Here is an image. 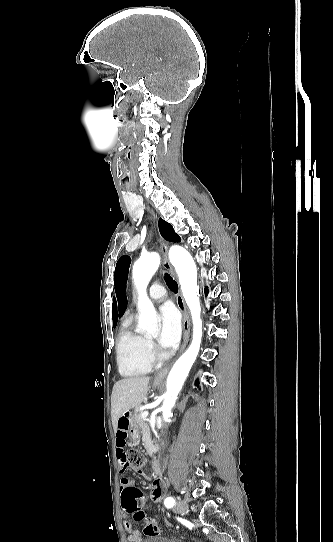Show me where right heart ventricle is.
<instances>
[{
    "mask_svg": "<svg viewBox=\"0 0 333 542\" xmlns=\"http://www.w3.org/2000/svg\"><path fill=\"white\" fill-rule=\"evenodd\" d=\"M116 353L120 373L135 377L148 373L154 361L148 355L147 338L136 325L126 326L116 337Z\"/></svg>",
    "mask_w": 333,
    "mask_h": 542,
    "instance_id": "right-heart-ventricle-1",
    "label": "right heart ventricle"
}]
</instances>
